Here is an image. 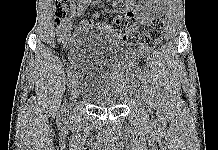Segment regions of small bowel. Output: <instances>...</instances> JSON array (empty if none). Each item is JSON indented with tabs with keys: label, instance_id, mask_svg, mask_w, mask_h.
Masks as SVG:
<instances>
[{
	"label": "small bowel",
	"instance_id": "small-bowel-1",
	"mask_svg": "<svg viewBox=\"0 0 218 150\" xmlns=\"http://www.w3.org/2000/svg\"><path fill=\"white\" fill-rule=\"evenodd\" d=\"M91 1L92 0H76L70 17L60 22L57 28V38L58 42L64 48H71L77 37L92 29L113 34L121 39V36L124 33L123 31L114 30L109 23H95L90 18L82 20L79 26L71 31L73 19L81 16ZM165 1L166 0H139L137 2L136 0H113V5H124V9L119 10V12L124 14V26L126 31L129 29H136L137 22L142 25H150L163 11ZM94 16L98 17V14H94ZM75 56L76 51L73 49L71 50L70 57L74 58Z\"/></svg>",
	"mask_w": 218,
	"mask_h": 150
}]
</instances>
